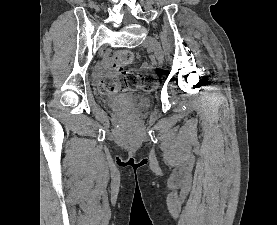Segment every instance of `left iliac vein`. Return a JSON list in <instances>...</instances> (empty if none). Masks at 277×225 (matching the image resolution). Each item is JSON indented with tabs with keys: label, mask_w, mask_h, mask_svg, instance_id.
Wrapping results in <instances>:
<instances>
[{
	"label": "left iliac vein",
	"mask_w": 277,
	"mask_h": 225,
	"mask_svg": "<svg viewBox=\"0 0 277 225\" xmlns=\"http://www.w3.org/2000/svg\"><path fill=\"white\" fill-rule=\"evenodd\" d=\"M144 46L149 48L160 64L164 61V53L158 40L152 36H148L144 41Z\"/></svg>",
	"instance_id": "obj_1"
}]
</instances>
